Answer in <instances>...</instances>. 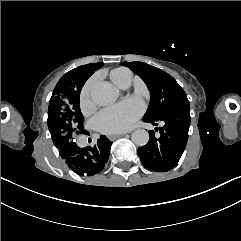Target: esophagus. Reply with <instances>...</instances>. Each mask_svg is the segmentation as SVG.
Segmentation results:
<instances>
[{
    "mask_svg": "<svg viewBox=\"0 0 241 241\" xmlns=\"http://www.w3.org/2000/svg\"><path fill=\"white\" fill-rule=\"evenodd\" d=\"M124 135H125L124 133L111 134V135L108 136V139H109L110 141H114V140H116V139H118V138L123 137Z\"/></svg>",
    "mask_w": 241,
    "mask_h": 241,
    "instance_id": "obj_1",
    "label": "esophagus"
}]
</instances>
